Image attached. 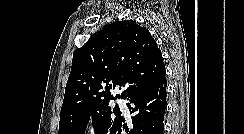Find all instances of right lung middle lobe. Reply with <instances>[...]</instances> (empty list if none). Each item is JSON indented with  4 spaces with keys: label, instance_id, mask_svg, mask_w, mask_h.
I'll use <instances>...</instances> for the list:
<instances>
[{
    "label": "right lung middle lobe",
    "instance_id": "1",
    "mask_svg": "<svg viewBox=\"0 0 244 134\" xmlns=\"http://www.w3.org/2000/svg\"><path fill=\"white\" fill-rule=\"evenodd\" d=\"M109 102L110 100L90 107L77 116L61 119L59 134H84L90 117L95 126V133L105 134L121 114L119 107H112Z\"/></svg>",
    "mask_w": 244,
    "mask_h": 134
}]
</instances>
